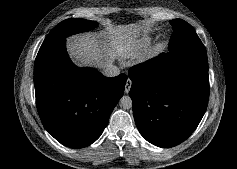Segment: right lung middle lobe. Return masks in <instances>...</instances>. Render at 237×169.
I'll use <instances>...</instances> for the list:
<instances>
[{"instance_id":"dd1d6c3e","label":"right lung middle lobe","mask_w":237,"mask_h":169,"mask_svg":"<svg viewBox=\"0 0 237 169\" xmlns=\"http://www.w3.org/2000/svg\"><path fill=\"white\" fill-rule=\"evenodd\" d=\"M97 25L98 23L95 21H89L81 18L67 19L54 27L44 41L66 38L67 36L75 33L91 30Z\"/></svg>"}]
</instances>
